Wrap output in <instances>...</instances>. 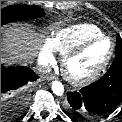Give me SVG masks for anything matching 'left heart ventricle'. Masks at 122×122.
I'll return each instance as SVG.
<instances>
[{
    "label": "left heart ventricle",
    "mask_w": 122,
    "mask_h": 122,
    "mask_svg": "<svg viewBox=\"0 0 122 122\" xmlns=\"http://www.w3.org/2000/svg\"><path fill=\"white\" fill-rule=\"evenodd\" d=\"M111 44L108 40L99 41L68 63V72L74 77H84L95 71L107 58Z\"/></svg>",
    "instance_id": "left-heart-ventricle-1"
}]
</instances>
